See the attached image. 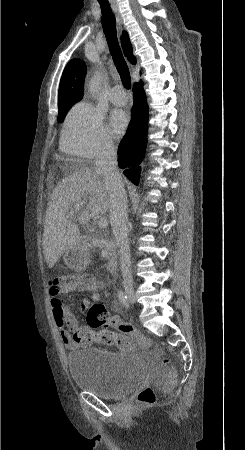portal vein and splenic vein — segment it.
<instances>
[{
  "instance_id": "18ae733b",
  "label": "portal vein and splenic vein",
  "mask_w": 245,
  "mask_h": 450,
  "mask_svg": "<svg viewBox=\"0 0 245 450\" xmlns=\"http://www.w3.org/2000/svg\"><path fill=\"white\" fill-rule=\"evenodd\" d=\"M79 209H80V207H79V206H76L75 209H74V211H73L72 213L77 212ZM98 226H99L100 228H106V227L108 226V221H107V219H106V218H100V219L98 220Z\"/></svg>"
}]
</instances>
